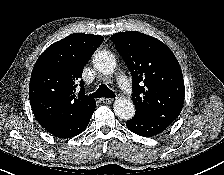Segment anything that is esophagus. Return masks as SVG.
<instances>
[{
    "instance_id": "34e87169",
    "label": "esophagus",
    "mask_w": 224,
    "mask_h": 175,
    "mask_svg": "<svg viewBox=\"0 0 224 175\" xmlns=\"http://www.w3.org/2000/svg\"><path fill=\"white\" fill-rule=\"evenodd\" d=\"M113 98H103L101 101L104 103V104H111L113 102Z\"/></svg>"
}]
</instances>
